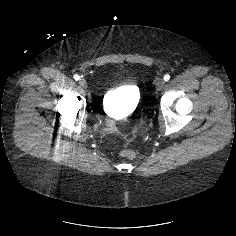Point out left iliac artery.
Wrapping results in <instances>:
<instances>
[{"label": "left iliac artery", "instance_id": "obj_1", "mask_svg": "<svg viewBox=\"0 0 236 236\" xmlns=\"http://www.w3.org/2000/svg\"><path fill=\"white\" fill-rule=\"evenodd\" d=\"M163 78H164V81H168L170 79V75L166 74Z\"/></svg>", "mask_w": 236, "mask_h": 236}]
</instances>
